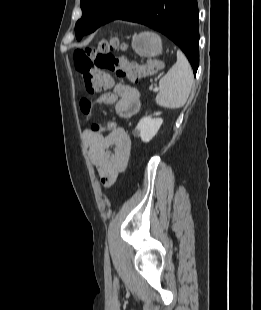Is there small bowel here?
<instances>
[{
    "label": "small bowel",
    "instance_id": "1",
    "mask_svg": "<svg viewBox=\"0 0 261 310\" xmlns=\"http://www.w3.org/2000/svg\"><path fill=\"white\" fill-rule=\"evenodd\" d=\"M94 104L115 105L116 113L121 118L129 119L140 109V92L130 85L118 83L112 91L101 94L95 100L83 98L80 102L82 113L87 117L90 116ZM101 127L100 131L85 130L84 139L88 145L91 162L96 167L102 182L110 186L127 166L131 139L126 130L114 122H107ZM111 147L114 150H111Z\"/></svg>",
    "mask_w": 261,
    "mask_h": 310
}]
</instances>
